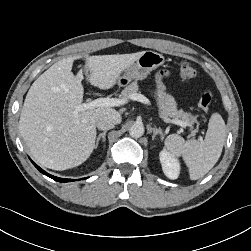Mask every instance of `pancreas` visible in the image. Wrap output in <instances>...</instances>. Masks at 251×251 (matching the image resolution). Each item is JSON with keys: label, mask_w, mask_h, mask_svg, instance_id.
<instances>
[{"label": "pancreas", "mask_w": 251, "mask_h": 251, "mask_svg": "<svg viewBox=\"0 0 251 251\" xmlns=\"http://www.w3.org/2000/svg\"><path fill=\"white\" fill-rule=\"evenodd\" d=\"M139 86L137 81L132 82L121 92V95L124 99L128 100L132 94L137 93ZM154 97L157 101V105L160 109V113L167 117L175 120H182L186 122L189 126H192L194 123H197L196 117L192 116L190 113H186L183 110H177V104L173 96L164 92L156 91L154 92ZM195 132H192V136Z\"/></svg>", "instance_id": "cf45deb5"}]
</instances>
